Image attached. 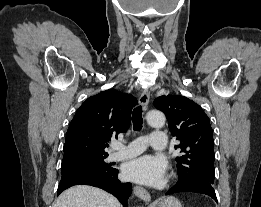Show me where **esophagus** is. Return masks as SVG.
Masks as SVG:
<instances>
[{
    "instance_id": "34e87169",
    "label": "esophagus",
    "mask_w": 261,
    "mask_h": 207,
    "mask_svg": "<svg viewBox=\"0 0 261 207\" xmlns=\"http://www.w3.org/2000/svg\"><path fill=\"white\" fill-rule=\"evenodd\" d=\"M149 103V92L147 90L142 91L138 98V104L143 107L144 110L147 109ZM134 194L138 196L140 199H142L145 202H149L151 199V196L149 192L144 189L143 187L140 186H135L134 189Z\"/></svg>"
}]
</instances>
